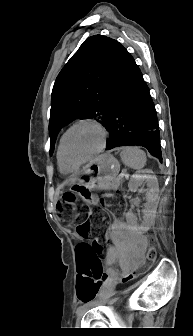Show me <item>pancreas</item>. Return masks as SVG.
I'll use <instances>...</instances> for the list:
<instances>
[{"label": "pancreas", "mask_w": 193, "mask_h": 336, "mask_svg": "<svg viewBox=\"0 0 193 336\" xmlns=\"http://www.w3.org/2000/svg\"><path fill=\"white\" fill-rule=\"evenodd\" d=\"M123 179L121 177H116L112 182L106 187V194L112 195L114 191L122 184Z\"/></svg>", "instance_id": "cf45deb5"}]
</instances>
